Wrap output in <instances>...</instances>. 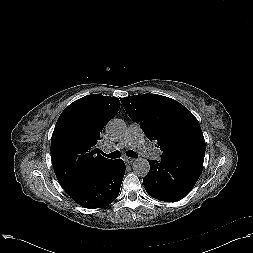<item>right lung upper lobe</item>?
I'll return each mask as SVG.
<instances>
[{"label":"right lung upper lobe","instance_id":"1","mask_svg":"<svg viewBox=\"0 0 253 253\" xmlns=\"http://www.w3.org/2000/svg\"><path fill=\"white\" fill-rule=\"evenodd\" d=\"M119 108L118 98L92 94L71 103L58 118L51 138V160L67 193L112 163L99 153L97 143Z\"/></svg>","mask_w":253,"mask_h":253}]
</instances>
